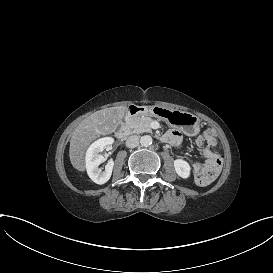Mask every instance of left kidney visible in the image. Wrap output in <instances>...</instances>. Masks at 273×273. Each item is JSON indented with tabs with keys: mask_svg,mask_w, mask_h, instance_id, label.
Returning <instances> with one entry per match:
<instances>
[{
	"mask_svg": "<svg viewBox=\"0 0 273 273\" xmlns=\"http://www.w3.org/2000/svg\"><path fill=\"white\" fill-rule=\"evenodd\" d=\"M176 174L182 179H188L191 176L190 164L181 158H177L173 161Z\"/></svg>",
	"mask_w": 273,
	"mask_h": 273,
	"instance_id": "left-kidney-1",
	"label": "left kidney"
}]
</instances>
